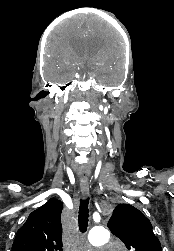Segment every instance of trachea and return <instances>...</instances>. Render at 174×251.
I'll return each mask as SVG.
<instances>
[{"label": "trachea", "instance_id": "3493384b", "mask_svg": "<svg viewBox=\"0 0 174 251\" xmlns=\"http://www.w3.org/2000/svg\"><path fill=\"white\" fill-rule=\"evenodd\" d=\"M88 205H89V198L80 200L78 223H79V229L82 233L86 232L88 226V217H89Z\"/></svg>", "mask_w": 174, "mask_h": 251}]
</instances>
